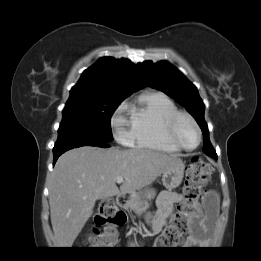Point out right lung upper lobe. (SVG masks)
Segmentation results:
<instances>
[{"mask_svg":"<svg viewBox=\"0 0 261 261\" xmlns=\"http://www.w3.org/2000/svg\"><path fill=\"white\" fill-rule=\"evenodd\" d=\"M143 85L136 67L129 60L104 57L82 73L70 91V98L106 95L126 98Z\"/></svg>","mask_w":261,"mask_h":261,"instance_id":"right-lung-upper-lobe-1","label":"right lung upper lobe"}]
</instances>
